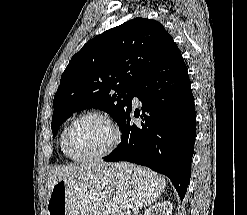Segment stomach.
Wrapping results in <instances>:
<instances>
[{"label": "stomach", "instance_id": "obj_1", "mask_svg": "<svg viewBox=\"0 0 247 215\" xmlns=\"http://www.w3.org/2000/svg\"><path fill=\"white\" fill-rule=\"evenodd\" d=\"M164 187L163 178L146 168L109 164L79 183L59 180L51 189L47 215H113L150 205Z\"/></svg>", "mask_w": 247, "mask_h": 215}]
</instances>
